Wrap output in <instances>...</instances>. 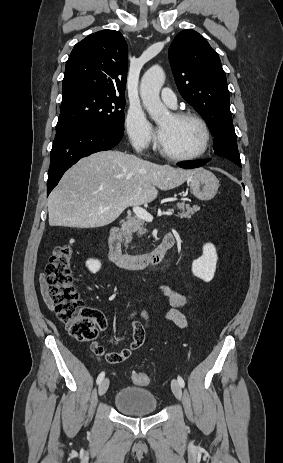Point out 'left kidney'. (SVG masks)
Returning <instances> with one entry per match:
<instances>
[{
	"instance_id": "1",
	"label": "left kidney",
	"mask_w": 283,
	"mask_h": 463,
	"mask_svg": "<svg viewBox=\"0 0 283 463\" xmlns=\"http://www.w3.org/2000/svg\"><path fill=\"white\" fill-rule=\"evenodd\" d=\"M218 257L213 244L207 243L203 246V254L192 263L194 276L205 282H210L216 271Z\"/></svg>"
}]
</instances>
